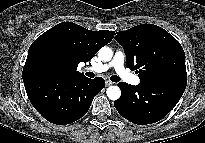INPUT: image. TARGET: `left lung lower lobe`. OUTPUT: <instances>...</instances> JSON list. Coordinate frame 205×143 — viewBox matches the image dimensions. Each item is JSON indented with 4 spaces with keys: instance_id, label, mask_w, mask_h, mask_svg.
Segmentation results:
<instances>
[{
    "instance_id": "left-lung-lower-lobe-1",
    "label": "left lung lower lobe",
    "mask_w": 205,
    "mask_h": 143,
    "mask_svg": "<svg viewBox=\"0 0 205 143\" xmlns=\"http://www.w3.org/2000/svg\"><path fill=\"white\" fill-rule=\"evenodd\" d=\"M187 78L171 77L137 86L121 82V97L114 102L118 113L138 125L155 123L164 118L178 103L185 91Z\"/></svg>"
}]
</instances>
